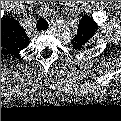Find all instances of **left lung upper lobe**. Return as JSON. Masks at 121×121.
I'll use <instances>...</instances> for the list:
<instances>
[{"mask_svg": "<svg viewBox=\"0 0 121 121\" xmlns=\"http://www.w3.org/2000/svg\"><path fill=\"white\" fill-rule=\"evenodd\" d=\"M97 30V24L89 16L80 20L78 33L73 40V47L80 48L92 38Z\"/></svg>", "mask_w": 121, "mask_h": 121, "instance_id": "1", "label": "left lung upper lobe"}]
</instances>
